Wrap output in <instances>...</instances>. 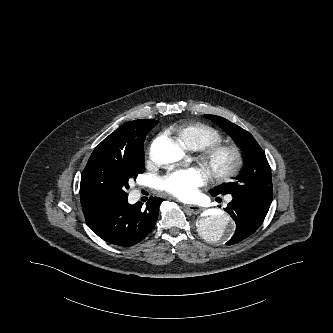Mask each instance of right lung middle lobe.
I'll list each match as a JSON object with an SVG mask.
<instances>
[{
	"label": "right lung middle lobe",
	"instance_id": "obj_1",
	"mask_svg": "<svg viewBox=\"0 0 333 333\" xmlns=\"http://www.w3.org/2000/svg\"><path fill=\"white\" fill-rule=\"evenodd\" d=\"M143 135L157 125L158 121L141 119ZM143 145L128 155L98 154L89 158L81 175L80 193L85 198L100 202L128 197V181L143 173Z\"/></svg>",
	"mask_w": 333,
	"mask_h": 333
}]
</instances>
